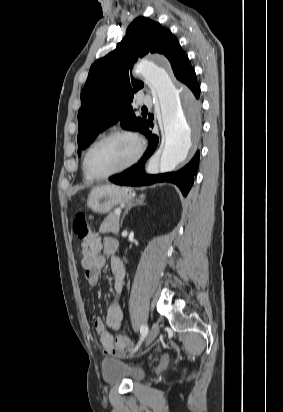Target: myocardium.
<instances>
[{
	"label": "myocardium",
	"mask_w": 283,
	"mask_h": 412,
	"mask_svg": "<svg viewBox=\"0 0 283 412\" xmlns=\"http://www.w3.org/2000/svg\"><path fill=\"white\" fill-rule=\"evenodd\" d=\"M115 136H126V137L131 138L134 141L135 145H136L135 155L133 156V158L128 163H126L125 165H123L122 167H120V168H118L114 171H111L109 173L102 174V175L95 174L89 167V157H90L91 152L93 151V149L97 145H99L103 141H105L107 139H110L112 137H115ZM143 152H144L143 142H142L141 138L139 137V135L136 132H134L132 130H129V129H123V128L115 129V130H112V131L107 132L104 135L100 136L88 147V149H87V151L84 155L83 167H84V170L86 171V173L92 179H95V180L108 179V178H110L114 175H117L119 173H122V172L128 170L129 168H131L132 166H134L140 160V158L142 157Z\"/></svg>",
	"instance_id": "f54148a6"
}]
</instances>
